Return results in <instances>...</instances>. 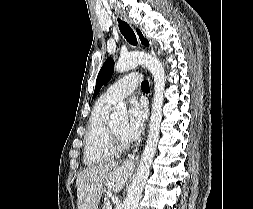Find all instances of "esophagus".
Wrapping results in <instances>:
<instances>
[{
	"label": "esophagus",
	"mask_w": 253,
	"mask_h": 209,
	"mask_svg": "<svg viewBox=\"0 0 253 209\" xmlns=\"http://www.w3.org/2000/svg\"><path fill=\"white\" fill-rule=\"evenodd\" d=\"M116 22L118 29L122 34L123 38L125 39V41H127V43L131 47L137 48L139 46V40L132 24L126 18L118 14L116 15ZM135 159L138 160V157H136ZM133 163H134L133 157H130L125 161V165L127 166L133 165Z\"/></svg>",
	"instance_id": "esophagus-1"
}]
</instances>
